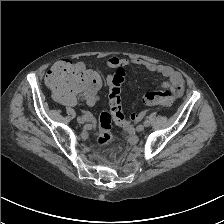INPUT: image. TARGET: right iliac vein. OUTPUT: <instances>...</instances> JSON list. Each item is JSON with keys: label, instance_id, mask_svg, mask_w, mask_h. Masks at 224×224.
Listing matches in <instances>:
<instances>
[{"label": "right iliac vein", "instance_id": "right-iliac-vein-1", "mask_svg": "<svg viewBox=\"0 0 224 224\" xmlns=\"http://www.w3.org/2000/svg\"><path fill=\"white\" fill-rule=\"evenodd\" d=\"M77 121H78V123H80V124H84L86 120L84 119V117H82V116H78V117H77Z\"/></svg>", "mask_w": 224, "mask_h": 224}]
</instances>
